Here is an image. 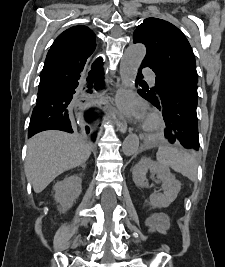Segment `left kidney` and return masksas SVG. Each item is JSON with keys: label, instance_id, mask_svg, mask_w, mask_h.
I'll use <instances>...</instances> for the list:
<instances>
[{"label": "left kidney", "instance_id": "1", "mask_svg": "<svg viewBox=\"0 0 225 267\" xmlns=\"http://www.w3.org/2000/svg\"><path fill=\"white\" fill-rule=\"evenodd\" d=\"M148 171L156 174L162 183L161 188L163 190L161 194H152L150 196L151 205L159 208L168 207L180 192L181 183L171 174L168 167L162 166L150 158H142L132 170L133 181L136 186L141 188L148 186L146 179Z\"/></svg>", "mask_w": 225, "mask_h": 267}]
</instances>
